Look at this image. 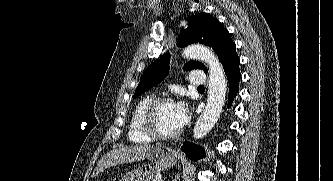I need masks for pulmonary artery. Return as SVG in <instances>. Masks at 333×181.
Listing matches in <instances>:
<instances>
[{"label": "pulmonary artery", "mask_w": 333, "mask_h": 181, "mask_svg": "<svg viewBox=\"0 0 333 181\" xmlns=\"http://www.w3.org/2000/svg\"><path fill=\"white\" fill-rule=\"evenodd\" d=\"M206 82V75L202 71H196L190 75V84L193 86L203 85Z\"/></svg>", "instance_id": "1"}]
</instances>
